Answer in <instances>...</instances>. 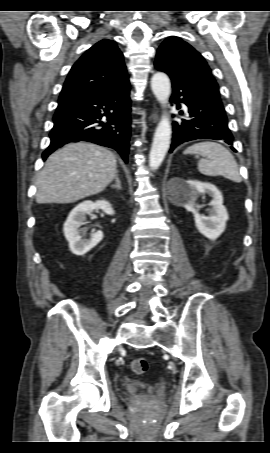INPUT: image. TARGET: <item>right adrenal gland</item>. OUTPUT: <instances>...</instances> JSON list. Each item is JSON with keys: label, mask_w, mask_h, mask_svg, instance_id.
<instances>
[{"label": "right adrenal gland", "mask_w": 270, "mask_h": 453, "mask_svg": "<svg viewBox=\"0 0 270 453\" xmlns=\"http://www.w3.org/2000/svg\"><path fill=\"white\" fill-rule=\"evenodd\" d=\"M115 183L111 185L112 188L114 189H117V190H121L122 189V186H121V182L119 180V173L118 171H116L115 173Z\"/></svg>", "instance_id": "2a0ac1e0"}]
</instances>
